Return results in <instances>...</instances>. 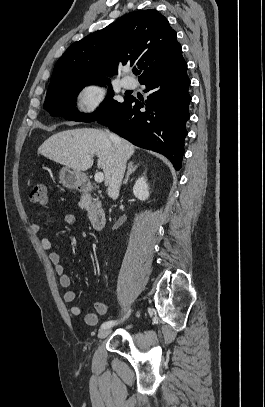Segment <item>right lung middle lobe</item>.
Instances as JSON below:
<instances>
[{
  "label": "right lung middle lobe",
  "instance_id": "obj_1",
  "mask_svg": "<svg viewBox=\"0 0 265 407\" xmlns=\"http://www.w3.org/2000/svg\"><path fill=\"white\" fill-rule=\"evenodd\" d=\"M105 80H87L80 82L61 81L49 85L44 108L52 116L64 117L68 120L92 122L98 120L111 110L115 109L119 104L112 99L114 92L109 85V92L105 101L100 105L99 109L93 114H82L76 109V97L79 92L91 83L105 84ZM127 97H125L126 99Z\"/></svg>",
  "mask_w": 265,
  "mask_h": 407
}]
</instances>
